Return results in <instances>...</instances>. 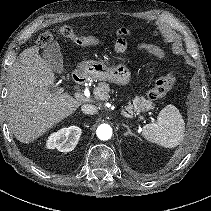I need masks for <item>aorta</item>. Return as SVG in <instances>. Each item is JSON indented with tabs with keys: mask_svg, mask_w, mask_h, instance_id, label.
I'll return each instance as SVG.
<instances>
[{
	"mask_svg": "<svg viewBox=\"0 0 211 211\" xmlns=\"http://www.w3.org/2000/svg\"><path fill=\"white\" fill-rule=\"evenodd\" d=\"M96 134L100 140H109L112 137V128L108 124H101L97 128Z\"/></svg>",
	"mask_w": 211,
	"mask_h": 211,
	"instance_id": "762f6f07",
	"label": "aorta"
}]
</instances>
